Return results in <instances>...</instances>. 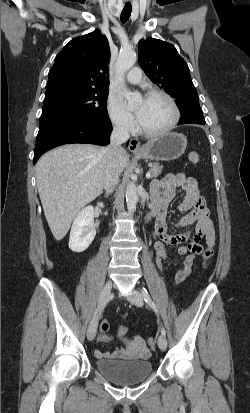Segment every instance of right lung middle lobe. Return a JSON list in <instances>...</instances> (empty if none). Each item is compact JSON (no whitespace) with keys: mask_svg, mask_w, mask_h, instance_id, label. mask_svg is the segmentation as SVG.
I'll list each match as a JSON object with an SVG mask.
<instances>
[{"mask_svg":"<svg viewBox=\"0 0 250 413\" xmlns=\"http://www.w3.org/2000/svg\"><path fill=\"white\" fill-rule=\"evenodd\" d=\"M108 91L78 85H63L47 91L39 128L63 117H108Z\"/></svg>","mask_w":250,"mask_h":413,"instance_id":"obj_1","label":"right lung middle lobe"}]
</instances>
